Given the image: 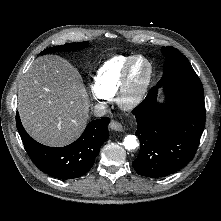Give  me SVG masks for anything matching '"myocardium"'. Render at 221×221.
<instances>
[{
    "mask_svg": "<svg viewBox=\"0 0 221 221\" xmlns=\"http://www.w3.org/2000/svg\"><path fill=\"white\" fill-rule=\"evenodd\" d=\"M137 60H143L147 64L148 73L139 90L135 93H132L130 90V76L132 67ZM153 74L154 68L151 61L143 55H134L129 60L123 71L120 85L116 94L117 104L124 110H131L137 107L147 94L148 88L153 78Z\"/></svg>",
    "mask_w": 221,
    "mask_h": 221,
    "instance_id": "f54148a6",
    "label": "myocardium"
}]
</instances>
